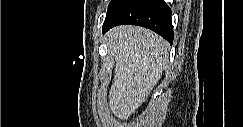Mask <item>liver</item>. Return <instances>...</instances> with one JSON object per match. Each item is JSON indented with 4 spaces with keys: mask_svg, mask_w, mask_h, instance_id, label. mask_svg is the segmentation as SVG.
Listing matches in <instances>:
<instances>
[{
    "mask_svg": "<svg viewBox=\"0 0 243 127\" xmlns=\"http://www.w3.org/2000/svg\"><path fill=\"white\" fill-rule=\"evenodd\" d=\"M115 59L109 108L126 120L145 102L161 78L168 60V43L154 32L137 26H119L107 33Z\"/></svg>",
    "mask_w": 243,
    "mask_h": 127,
    "instance_id": "liver-1",
    "label": "liver"
}]
</instances>
